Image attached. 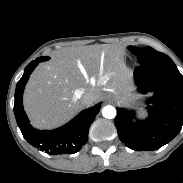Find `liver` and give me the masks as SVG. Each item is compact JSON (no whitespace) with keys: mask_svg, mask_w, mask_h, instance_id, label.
Listing matches in <instances>:
<instances>
[{"mask_svg":"<svg viewBox=\"0 0 183 183\" xmlns=\"http://www.w3.org/2000/svg\"><path fill=\"white\" fill-rule=\"evenodd\" d=\"M105 88L119 93L123 100L130 96L122 50L100 45L66 49L33 72L24 92V106L34 125L53 127L83 108L81 92H94L97 102Z\"/></svg>","mask_w":183,"mask_h":183,"instance_id":"6515ba94","label":"liver"}]
</instances>
